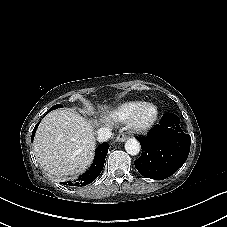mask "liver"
Listing matches in <instances>:
<instances>
[{"label": "liver", "mask_w": 227, "mask_h": 227, "mask_svg": "<svg viewBox=\"0 0 227 227\" xmlns=\"http://www.w3.org/2000/svg\"><path fill=\"white\" fill-rule=\"evenodd\" d=\"M95 147L93 126L70 109L47 114L33 143L37 162L57 178L84 172L93 161Z\"/></svg>", "instance_id": "1"}]
</instances>
